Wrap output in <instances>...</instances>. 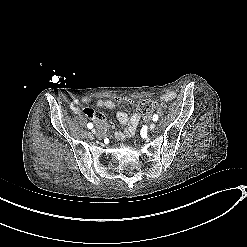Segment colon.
Listing matches in <instances>:
<instances>
[{"label":"colon","instance_id":"obj_1","mask_svg":"<svg viewBox=\"0 0 247 247\" xmlns=\"http://www.w3.org/2000/svg\"><path fill=\"white\" fill-rule=\"evenodd\" d=\"M157 104L151 100H141L138 103V111L141 114H149L153 112L156 108Z\"/></svg>","mask_w":247,"mask_h":247}]
</instances>
